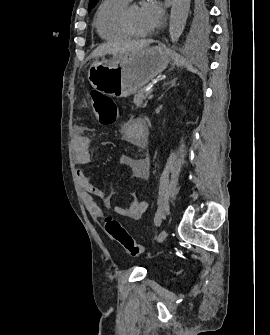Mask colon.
<instances>
[{
	"label": "colon",
	"mask_w": 270,
	"mask_h": 335,
	"mask_svg": "<svg viewBox=\"0 0 270 335\" xmlns=\"http://www.w3.org/2000/svg\"><path fill=\"white\" fill-rule=\"evenodd\" d=\"M90 99L96 117L100 120L101 125L110 126L117 119V108L114 99L108 95L92 90ZM105 229L110 238L121 246L126 253L131 256H140L143 253V248L137 244L128 230L122 225L119 219L115 216L105 218Z\"/></svg>",
	"instance_id": "5ec220e1"
}]
</instances>
